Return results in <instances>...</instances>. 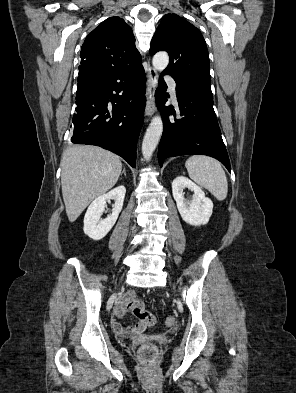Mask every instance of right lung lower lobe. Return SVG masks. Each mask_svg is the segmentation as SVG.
<instances>
[{"label":"right lung lower lobe","instance_id":"98d812e1","mask_svg":"<svg viewBox=\"0 0 296 393\" xmlns=\"http://www.w3.org/2000/svg\"><path fill=\"white\" fill-rule=\"evenodd\" d=\"M145 91L146 77L142 65L121 72L79 67L71 141L103 147L135 167ZM119 92L122 95H118Z\"/></svg>","mask_w":296,"mask_h":393}]
</instances>
